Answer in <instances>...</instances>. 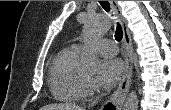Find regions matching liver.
I'll return each mask as SVG.
<instances>
[{
    "label": "liver",
    "mask_w": 171,
    "mask_h": 110,
    "mask_svg": "<svg viewBox=\"0 0 171 110\" xmlns=\"http://www.w3.org/2000/svg\"><path fill=\"white\" fill-rule=\"evenodd\" d=\"M40 110H84V109L72 104H49L41 107Z\"/></svg>",
    "instance_id": "6515ba94"
}]
</instances>
